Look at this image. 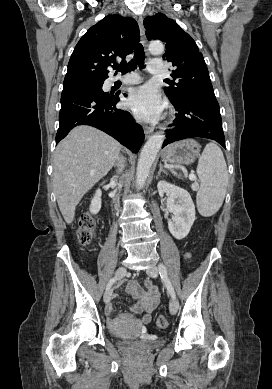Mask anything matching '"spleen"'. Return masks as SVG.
<instances>
[{
    "label": "spleen",
    "mask_w": 272,
    "mask_h": 389,
    "mask_svg": "<svg viewBox=\"0 0 272 389\" xmlns=\"http://www.w3.org/2000/svg\"><path fill=\"white\" fill-rule=\"evenodd\" d=\"M200 188L196 196L199 213L214 215L221 207L228 184V171L223 152L215 143H208L198 160Z\"/></svg>",
    "instance_id": "obj_1"
}]
</instances>
